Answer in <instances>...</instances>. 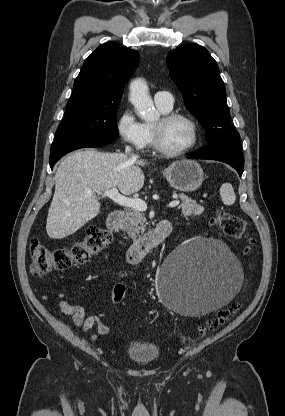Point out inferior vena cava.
<instances>
[{
	"instance_id": "1",
	"label": "inferior vena cava",
	"mask_w": 285,
	"mask_h": 416,
	"mask_svg": "<svg viewBox=\"0 0 285 416\" xmlns=\"http://www.w3.org/2000/svg\"><path fill=\"white\" fill-rule=\"evenodd\" d=\"M132 148L130 146H126L125 148V154H129L131 162H136L138 156H134V154H131Z\"/></svg>"
}]
</instances>
